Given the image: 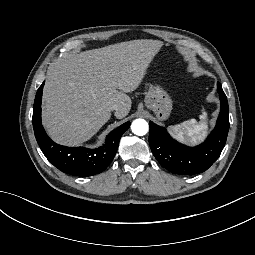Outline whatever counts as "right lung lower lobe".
Wrapping results in <instances>:
<instances>
[{
	"label": "right lung lower lobe",
	"mask_w": 255,
	"mask_h": 255,
	"mask_svg": "<svg viewBox=\"0 0 255 255\" xmlns=\"http://www.w3.org/2000/svg\"><path fill=\"white\" fill-rule=\"evenodd\" d=\"M43 86L44 82L36 93L32 119L35 137L43 154L56 168L67 174L92 176L104 171L113 160L119 140L130 123L126 122L113 130L107 136L105 144L98 149L58 145L47 136L41 124Z\"/></svg>",
	"instance_id": "right-lung-lower-lobe-1"
}]
</instances>
